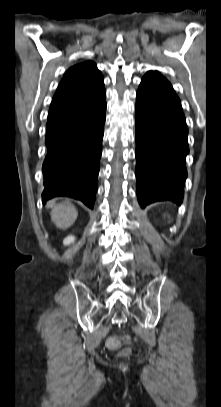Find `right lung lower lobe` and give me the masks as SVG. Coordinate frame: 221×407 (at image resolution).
I'll return each mask as SVG.
<instances>
[{
	"instance_id": "right-lung-lower-lobe-1",
	"label": "right lung lower lobe",
	"mask_w": 221,
	"mask_h": 407,
	"mask_svg": "<svg viewBox=\"0 0 221 407\" xmlns=\"http://www.w3.org/2000/svg\"><path fill=\"white\" fill-rule=\"evenodd\" d=\"M106 92L51 107L46 124L42 200L68 196L93 208L97 191Z\"/></svg>"
}]
</instances>
